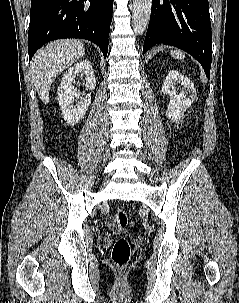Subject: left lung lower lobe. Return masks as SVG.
<instances>
[{
    "mask_svg": "<svg viewBox=\"0 0 239 303\" xmlns=\"http://www.w3.org/2000/svg\"><path fill=\"white\" fill-rule=\"evenodd\" d=\"M156 44L172 45L191 54L210 78L212 35L208 0H152L143 54Z\"/></svg>",
    "mask_w": 239,
    "mask_h": 303,
    "instance_id": "left-lung-lower-lobe-1",
    "label": "left lung lower lobe"
}]
</instances>
